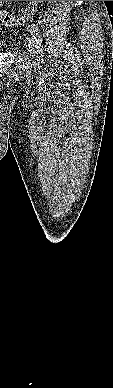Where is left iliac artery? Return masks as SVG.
Masks as SVG:
<instances>
[{
	"instance_id": "1",
	"label": "left iliac artery",
	"mask_w": 113,
	"mask_h": 388,
	"mask_svg": "<svg viewBox=\"0 0 113 388\" xmlns=\"http://www.w3.org/2000/svg\"><path fill=\"white\" fill-rule=\"evenodd\" d=\"M31 30L33 34L34 41L36 43V48H40L41 46V34H40V29L36 23H33L31 25Z\"/></svg>"
}]
</instances>
